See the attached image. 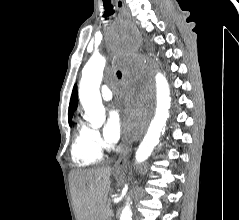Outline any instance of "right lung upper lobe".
<instances>
[{"mask_svg":"<svg viewBox=\"0 0 239 220\" xmlns=\"http://www.w3.org/2000/svg\"><path fill=\"white\" fill-rule=\"evenodd\" d=\"M78 105V100H77V86L74 85L72 95H71V100L69 104V111H68V117L69 119L73 117L74 111L77 108Z\"/></svg>","mask_w":239,"mask_h":220,"instance_id":"cb5924a9","label":"right lung upper lobe"}]
</instances>
